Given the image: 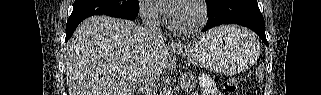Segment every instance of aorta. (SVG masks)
<instances>
[{
	"label": "aorta",
	"mask_w": 321,
	"mask_h": 95,
	"mask_svg": "<svg viewBox=\"0 0 321 95\" xmlns=\"http://www.w3.org/2000/svg\"><path fill=\"white\" fill-rule=\"evenodd\" d=\"M162 95H172V90L171 88L165 87L163 89Z\"/></svg>",
	"instance_id": "aorta-1"
}]
</instances>
